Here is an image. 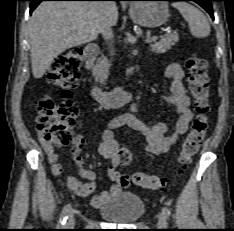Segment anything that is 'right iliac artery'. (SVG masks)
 Here are the masks:
<instances>
[{"instance_id":"82829eb1","label":"right iliac artery","mask_w":234,"mask_h":231,"mask_svg":"<svg viewBox=\"0 0 234 231\" xmlns=\"http://www.w3.org/2000/svg\"><path fill=\"white\" fill-rule=\"evenodd\" d=\"M70 209H71V206L69 204L64 206V208L61 212L58 224H57V228L61 229L64 227L66 220L68 218V214L70 212Z\"/></svg>"}]
</instances>
